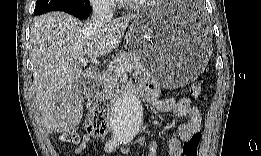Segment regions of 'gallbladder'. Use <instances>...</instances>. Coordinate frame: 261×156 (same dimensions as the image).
Returning <instances> with one entry per match:
<instances>
[{"mask_svg": "<svg viewBox=\"0 0 261 156\" xmlns=\"http://www.w3.org/2000/svg\"><path fill=\"white\" fill-rule=\"evenodd\" d=\"M70 87H77L69 85ZM62 90L58 96L57 103L53 104L54 109L50 113L51 127L58 130V132H65L71 130L79 124L83 117L84 104L81 98L82 92L80 89Z\"/></svg>", "mask_w": 261, "mask_h": 156, "instance_id": "1", "label": "gallbladder"}]
</instances>
